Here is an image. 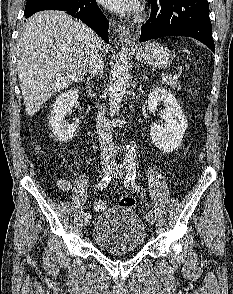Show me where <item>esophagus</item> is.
I'll use <instances>...</instances> for the list:
<instances>
[{
	"instance_id": "obj_1",
	"label": "esophagus",
	"mask_w": 233,
	"mask_h": 294,
	"mask_svg": "<svg viewBox=\"0 0 233 294\" xmlns=\"http://www.w3.org/2000/svg\"><path fill=\"white\" fill-rule=\"evenodd\" d=\"M117 37L119 41L124 42L126 44H131V37L129 31L124 25H118Z\"/></svg>"
}]
</instances>
